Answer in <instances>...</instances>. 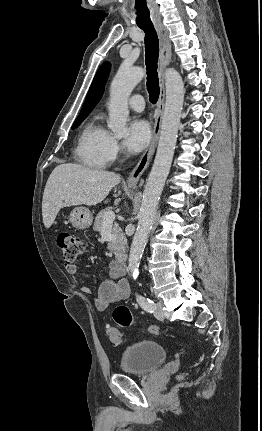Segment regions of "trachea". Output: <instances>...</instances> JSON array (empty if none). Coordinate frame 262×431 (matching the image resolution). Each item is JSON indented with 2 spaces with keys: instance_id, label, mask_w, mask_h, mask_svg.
I'll return each mask as SVG.
<instances>
[{
  "instance_id": "obj_1",
  "label": "trachea",
  "mask_w": 262,
  "mask_h": 431,
  "mask_svg": "<svg viewBox=\"0 0 262 431\" xmlns=\"http://www.w3.org/2000/svg\"><path fill=\"white\" fill-rule=\"evenodd\" d=\"M135 8L138 14L148 12L146 0H135ZM145 33V62L147 69V90L149 93V100L155 104L158 100L159 78L157 72V63L159 57V40L154 26H139Z\"/></svg>"
}]
</instances>
